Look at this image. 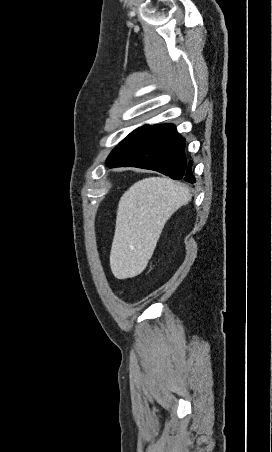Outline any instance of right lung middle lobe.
<instances>
[{"instance_id":"1","label":"right lung middle lobe","mask_w":272,"mask_h":452,"mask_svg":"<svg viewBox=\"0 0 272 452\" xmlns=\"http://www.w3.org/2000/svg\"><path fill=\"white\" fill-rule=\"evenodd\" d=\"M149 125H145L130 133L108 156L106 166L109 167L119 160L148 130Z\"/></svg>"}]
</instances>
